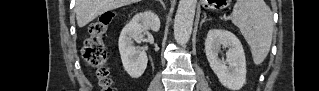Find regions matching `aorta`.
Wrapping results in <instances>:
<instances>
[{
	"label": "aorta",
	"mask_w": 319,
	"mask_h": 91,
	"mask_svg": "<svg viewBox=\"0 0 319 91\" xmlns=\"http://www.w3.org/2000/svg\"><path fill=\"white\" fill-rule=\"evenodd\" d=\"M197 0H179L174 19V38L184 46L190 39Z\"/></svg>",
	"instance_id": "1"
}]
</instances>
